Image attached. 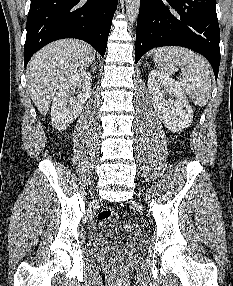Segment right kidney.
Returning <instances> with one entry per match:
<instances>
[{
  "mask_svg": "<svg viewBox=\"0 0 233 286\" xmlns=\"http://www.w3.org/2000/svg\"><path fill=\"white\" fill-rule=\"evenodd\" d=\"M91 84V74L80 71L59 87L51 106L52 125L56 129H66L79 116L91 93Z\"/></svg>",
  "mask_w": 233,
  "mask_h": 286,
  "instance_id": "1",
  "label": "right kidney"
}]
</instances>
